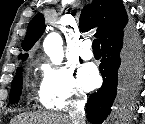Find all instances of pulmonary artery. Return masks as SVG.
Segmentation results:
<instances>
[{"mask_svg": "<svg viewBox=\"0 0 145 124\" xmlns=\"http://www.w3.org/2000/svg\"><path fill=\"white\" fill-rule=\"evenodd\" d=\"M80 56L84 60H90L93 58V52L90 48V42L89 41H84L82 43L81 51H80Z\"/></svg>", "mask_w": 145, "mask_h": 124, "instance_id": "obj_1", "label": "pulmonary artery"}]
</instances>
